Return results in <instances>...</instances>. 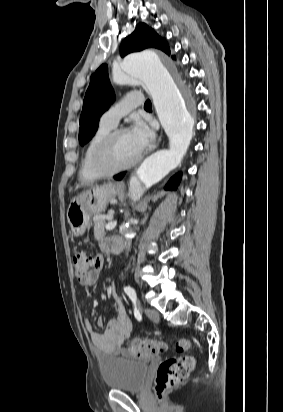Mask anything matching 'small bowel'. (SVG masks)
Listing matches in <instances>:
<instances>
[{"label":"small bowel","mask_w":283,"mask_h":412,"mask_svg":"<svg viewBox=\"0 0 283 412\" xmlns=\"http://www.w3.org/2000/svg\"><path fill=\"white\" fill-rule=\"evenodd\" d=\"M116 238H105L101 240L100 246L103 251H110L111 245ZM99 256V255H98ZM101 263L97 265L87 276L82 280L85 286L94 285L98 278L99 272L102 269L103 261L101 256ZM111 296L116 307V315L109 320L102 333H96L92 330L90 321L87 318L83 319L84 329L89 333L94 350L100 357H110L123 355L125 357H131L130 353L123 349L125 341L128 339L132 331L131 320L123 306L120 298L118 297L115 287H111ZM98 326H104V321L99 318L97 320Z\"/></svg>","instance_id":"small-bowel-1"}]
</instances>
